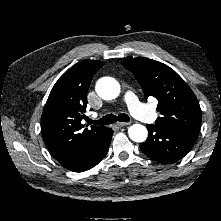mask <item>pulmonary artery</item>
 Masks as SVG:
<instances>
[{
  "mask_svg": "<svg viewBox=\"0 0 221 221\" xmlns=\"http://www.w3.org/2000/svg\"><path fill=\"white\" fill-rule=\"evenodd\" d=\"M124 101L126 102L130 112L136 118L151 123L155 119V115L147 107H145L132 91H127L124 95Z\"/></svg>",
  "mask_w": 221,
  "mask_h": 221,
  "instance_id": "e3ab8cb5",
  "label": "pulmonary artery"
}]
</instances>
